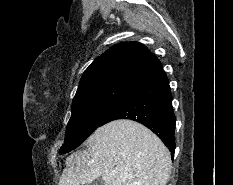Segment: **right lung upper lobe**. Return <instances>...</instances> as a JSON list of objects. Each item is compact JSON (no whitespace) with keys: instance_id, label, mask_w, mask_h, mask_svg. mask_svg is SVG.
Here are the masks:
<instances>
[{"instance_id":"right-lung-upper-lobe-1","label":"right lung upper lobe","mask_w":233,"mask_h":185,"mask_svg":"<svg viewBox=\"0 0 233 185\" xmlns=\"http://www.w3.org/2000/svg\"><path fill=\"white\" fill-rule=\"evenodd\" d=\"M161 71L160 61L141 43L117 44L86 69L75 97L112 87L132 90Z\"/></svg>"}]
</instances>
